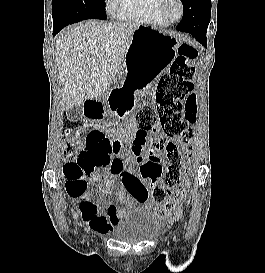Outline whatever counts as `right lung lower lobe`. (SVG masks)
<instances>
[{"mask_svg": "<svg viewBox=\"0 0 265 273\" xmlns=\"http://www.w3.org/2000/svg\"><path fill=\"white\" fill-rule=\"evenodd\" d=\"M62 28H54V32L53 35H55L56 33H58Z\"/></svg>", "mask_w": 265, "mask_h": 273, "instance_id": "98d812e1", "label": "right lung lower lobe"}]
</instances>
